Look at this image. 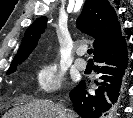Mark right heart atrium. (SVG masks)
Instances as JSON below:
<instances>
[{"label": "right heart atrium", "instance_id": "d8ad5b80", "mask_svg": "<svg viewBox=\"0 0 133 118\" xmlns=\"http://www.w3.org/2000/svg\"><path fill=\"white\" fill-rule=\"evenodd\" d=\"M62 83L63 74L57 62L48 60L38 66L36 70V84L41 93H53L61 87Z\"/></svg>", "mask_w": 133, "mask_h": 118}]
</instances>
